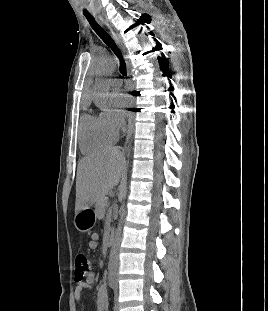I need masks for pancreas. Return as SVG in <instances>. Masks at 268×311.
<instances>
[{
	"label": "pancreas",
	"mask_w": 268,
	"mask_h": 311,
	"mask_svg": "<svg viewBox=\"0 0 268 311\" xmlns=\"http://www.w3.org/2000/svg\"><path fill=\"white\" fill-rule=\"evenodd\" d=\"M108 206L106 198L99 199L95 204V213L98 218H104L105 210Z\"/></svg>",
	"instance_id": "1"
}]
</instances>
